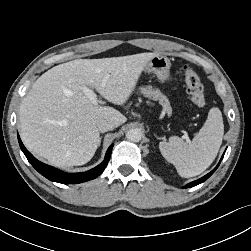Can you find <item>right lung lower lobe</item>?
Segmentation results:
<instances>
[{"label":"right lung lower lobe","mask_w":251,"mask_h":251,"mask_svg":"<svg viewBox=\"0 0 251 251\" xmlns=\"http://www.w3.org/2000/svg\"><path fill=\"white\" fill-rule=\"evenodd\" d=\"M18 136V141H19V145L21 150L23 151V153L25 154L26 158L28 159V161L31 163V165L44 177H46L47 179L54 181V182H58V183H62V184H75V183H81V182H85L88 180H92L94 178H96L97 176H99L105 169V167L107 166L109 159L111 157V152H112V148L114 146V144H111L110 147L108 148L106 155H105V159L103 160V162L101 164H99L98 166H96L93 169H90L89 171L86 172H82V173H66L63 172L59 169H56L54 167H51L49 165H46L40 161H38L23 145L19 135Z\"/></svg>","instance_id":"1"}]
</instances>
